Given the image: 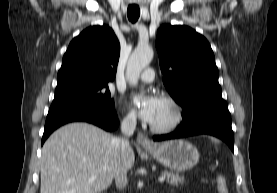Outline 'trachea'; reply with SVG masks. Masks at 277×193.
I'll return each mask as SVG.
<instances>
[{"instance_id": "1", "label": "trachea", "mask_w": 277, "mask_h": 193, "mask_svg": "<svg viewBox=\"0 0 277 193\" xmlns=\"http://www.w3.org/2000/svg\"><path fill=\"white\" fill-rule=\"evenodd\" d=\"M127 16H128V19L132 23H135L138 20L139 16H140V9H139V7L136 6V5H130V6H128Z\"/></svg>"}]
</instances>
